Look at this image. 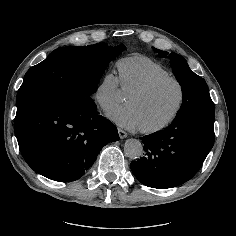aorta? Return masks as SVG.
<instances>
[{
	"label": "aorta",
	"instance_id": "obj_1",
	"mask_svg": "<svg viewBox=\"0 0 236 236\" xmlns=\"http://www.w3.org/2000/svg\"><path fill=\"white\" fill-rule=\"evenodd\" d=\"M124 153L130 159H138L143 155V145L138 139H127L124 144Z\"/></svg>",
	"mask_w": 236,
	"mask_h": 236
}]
</instances>
